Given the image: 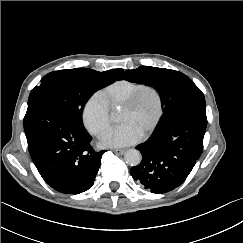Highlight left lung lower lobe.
Returning a JSON list of instances; mask_svg holds the SVG:
<instances>
[{
	"mask_svg": "<svg viewBox=\"0 0 243 243\" xmlns=\"http://www.w3.org/2000/svg\"><path fill=\"white\" fill-rule=\"evenodd\" d=\"M206 126L205 101L190 103L174 113L136 147L142 161L131 168L133 179L157 194L179 187L203 151Z\"/></svg>",
	"mask_w": 243,
	"mask_h": 243,
	"instance_id": "0a47b994",
	"label": "left lung lower lobe"
}]
</instances>
